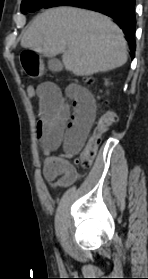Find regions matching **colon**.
Returning <instances> with one entry per match:
<instances>
[{
  "label": "colon",
  "instance_id": "1",
  "mask_svg": "<svg viewBox=\"0 0 148 279\" xmlns=\"http://www.w3.org/2000/svg\"><path fill=\"white\" fill-rule=\"evenodd\" d=\"M84 82L88 85L95 84L96 80L92 76H86L83 78ZM37 87L29 85L26 88L27 95L34 97L36 95ZM117 121L116 113L111 110H105L96 122L93 134L84 149L82 150L79 157L76 159V164L81 168H88L96 155L97 148L101 142L103 134Z\"/></svg>",
  "mask_w": 148,
  "mask_h": 279
}]
</instances>
